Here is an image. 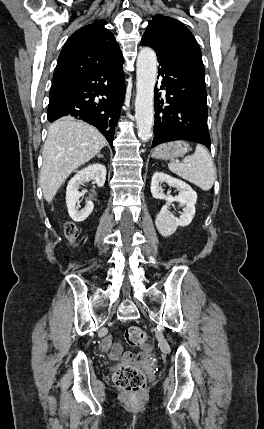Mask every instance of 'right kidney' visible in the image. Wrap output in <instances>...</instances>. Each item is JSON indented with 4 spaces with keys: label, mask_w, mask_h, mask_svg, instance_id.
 <instances>
[{
    "label": "right kidney",
    "mask_w": 264,
    "mask_h": 429,
    "mask_svg": "<svg viewBox=\"0 0 264 429\" xmlns=\"http://www.w3.org/2000/svg\"><path fill=\"white\" fill-rule=\"evenodd\" d=\"M90 180H95L98 187H102L106 180V167L102 164H92L79 171L68 183L66 189V205L69 216L75 222L84 221L93 211L94 204L87 201L84 208L79 210L78 191L80 185Z\"/></svg>",
    "instance_id": "right-kidney-1"
}]
</instances>
